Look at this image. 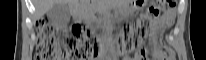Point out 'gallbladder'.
<instances>
[{"label":"gallbladder","instance_id":"gallbladder-1","mask_svg":"<svg viewBox=\"0 0 206 60\" xmlns=\"http://www.w3.org/2000/svg\"><path fill=\"white\" fill-rule=\"evenodd\" d=\"M47 16L53 23L54 27L64 28L70 20L71 12L68 3L62 1L54 5L48 12Z\"/></svg>","mask_w":206,"mask_h":60}]
</instances>
